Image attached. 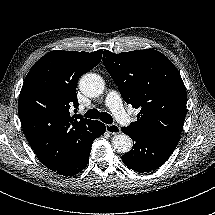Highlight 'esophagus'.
Instances as JSON below:
<instances>
[{"instance_id": "obj_1", "label": "esophagus", "mask_w": 215, "mask_h": 215, "mask_svg": "<svg viewBox=\"0 0 215 215\" xmlns=\"http://www.w3.org/2000/svg\"><path fill=\"white\" fill-rule=\"evenodd\" d=\"M106 131L110 134H120L121 133V128L116 124V123H112V124H106Z\"/></svg>"}]
</instances>
